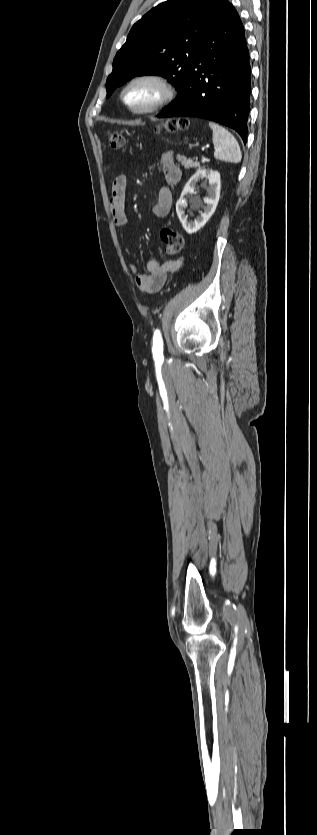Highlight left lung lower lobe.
I'll return each mask as SVG.
<instances>
[{
  "label": "left lung lower lobe",
  "mask_w": 317,
  "mask_h": 835,
  "mask_svg": "<svg viewBox=\"0 0 317 835\" xmlns=\"http://www.w3.org/2000/svg\"><path fill=\"white\" fill-rule=\"evenodd\" d=\"M250 62L245 32L231 4L205 40L180 95L157 117H199L247 140Z\"/></svg>",
  "instance_id": "obj_1"
}]
</instances>
